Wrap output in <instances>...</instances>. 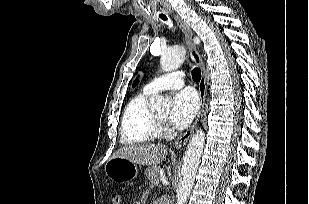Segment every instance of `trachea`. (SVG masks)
<instances>
[{"label": "trachea", "mask_w": 309, "mask_h": 204, "mask_svg": "<svg viewBox=\"0 0 309 204\" xmlns=\"http://www.w3.org/2000/svg\"><path fill=\"white\" fill-rule=\"evenodd\" d=\"M161 18H162L163 20H167V18H166L165 16H161ZM192 78H193V80H194L195 82H199V81H200V79H201V71H200L199 68H194V69L192 70Z\"/></svg>", "instance_id": "trachea-1"}]
</instances>
